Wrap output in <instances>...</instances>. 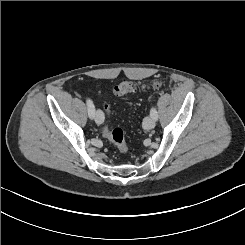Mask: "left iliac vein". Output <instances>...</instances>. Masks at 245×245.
<instances>
[{
  "label": "left iliac vein",
  "mask_w": 245,
  "mask_h": 245,
  "mask_svg": "<svg viewBox=\"0 0 245 245\" xmlns=\"http://www.w3.org/2000/svg\"><path fill=\"white\" fill-rule=\"evenodd\" d=\"M143 126L146 130L153 129L155 127V121L151 116H147L144 119Z\"/></svg>",
  "instance_id": "1"
}]
</instances>
